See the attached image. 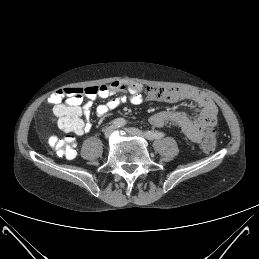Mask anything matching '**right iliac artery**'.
<instances>
[{"label": "right iliac artery", "mask_w": 259, "mask_h": 259, "mask_svg": "<svg viewBox=\"0 0 259 259\" xmlns=\"http://www.w3.org/2000/svg\"><path fill=\"white\" fill-rule=\"evenodd\" d=\"M115 127H123L126 124V121L123 118L114 119L111 122Z\"/></svg>", "instance_id": "82829eb1"}]
</instances>
